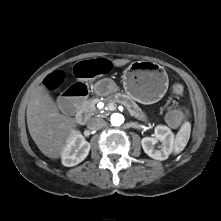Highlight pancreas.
<instances>
[{
	"instance_id": "1",
	"label": "pancreas",
	"mask_w": 221,
	"mask_h": 221,
	"mask_svg": "<svg viewBox=\"0 0 221 221\" xmlns=\"http://www.w3.org/2000/svg\"><path fill=\"white\" fill-rule=\"evenodd\" d=\"M98 100H90L87 104V112L89 114H94L97 112L96 103ZM106 106L110 103H119L127 108L129 113L140 121L147 122L146 114L141 110L137 103L128 95L118 93L116 96H110L103 101Z\"/></svg>"
}]
</instances>
